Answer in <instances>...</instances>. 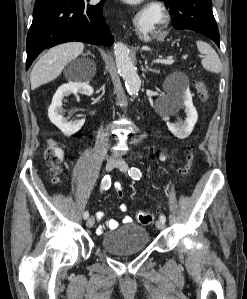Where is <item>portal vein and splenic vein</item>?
Here are the masks:
<instances>
[{
    "instance_id": "portal-vein-and-splenic-vein-1",
    "label": "portal vein and splenic vein",
    "mask_w": 247,
    "mask_h": 299,
    "mask_svg": "<svg viewBox=\"0 0 247 299\" xmlns=\"http://www.w3.org/2000/svg\"><path fill=\"white\" fill-rule=\"evenodd\" d=\"M154 63H161V64H166V65H171L174 63V60L172 58H167V59H156L153 61Z\"/></svg>"
}]
</instances>
